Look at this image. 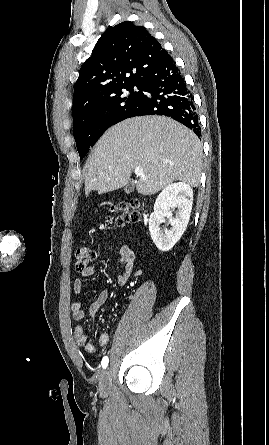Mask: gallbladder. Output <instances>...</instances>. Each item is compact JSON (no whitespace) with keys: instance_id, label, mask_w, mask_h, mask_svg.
I'll list each match as a JSON object with an SVG mask.
<instances>
[{"instance_id":"bac80fb5","label":"gallbladder","mask_w":269,"mask_h":445,"mask_svg":"<svg viewBox=\"0 0 269 445\" xmlns=\"http://www.w3.org/2000/svg\"><path fill=\"white\" fill-rule=\"evenodd\" d=\"M134 190V184L132 182H130L129 184L126 185V187L124 188L125 193L129 194L131 192H133Z\"/></svg>"}]
</instances>
